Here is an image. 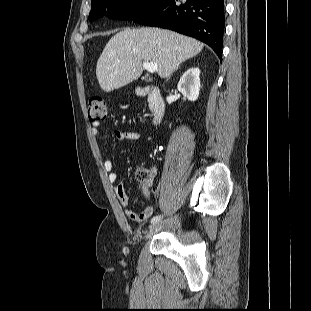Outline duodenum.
Wrapping results in <instances>:
<instances>
[{
    "label": "duodenum",
    "instance_id": "410a0bca",
    "mask_svg": "<svg viewBox=\"0 0 311 311\" xmlns=\"http://www.w3.org/2000/svg\"><path fill=\"white\" fill-rule=\"evenodd\" d=\"M136 93L139 96H147L152 114V121L153 123L159 122L165 113V103L159 87L153 85L137 87Z\"/></svg>",
    "mask_w": 311,
    "mask_h": 311
}]
</instances>
